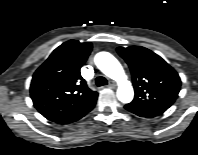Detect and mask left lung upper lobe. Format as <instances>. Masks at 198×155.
Segmentation results:
<instances>
[{"mask_svg":"<svg viewBox=\"0 0 198 155\" xmlns=\"http://www.w3.org/2000/svg\"><path fill=\"white\" fill-rule=\"evenodd\" d=\"M130 67L135 97L127 106L146 112H165L176 100L181 80L160 56L141 46L118 47Z\"/></svg>","mask_w":198,"mask_h":155,"instance_id":"5c2ea615","label":"left lung upper lobe"}]
</instances>
